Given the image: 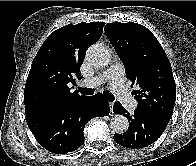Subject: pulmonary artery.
Wrapping results in <instances>:
<instances>
[{"instance_id":"e3ab8cb5","label":"pulmonary artery","mask_w":196,"mask_h":166,"mask_svg":"<svg viewBox=\"0 0 196 166\" xmlns=\"http://www.w3.org/2000/svg\"><path fill=\"white\" fill-rule=\"evenodd\" d=\"M106 81H109L111 91L126 108L135 109L137 102L127 91L125 85V71L121 63L113 64L99 77L83 80L81 86L93 87Z\"/></svg>"}]
</instances>
